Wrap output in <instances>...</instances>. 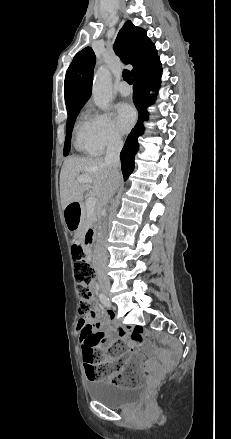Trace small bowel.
<instances>
[{"mask_svg": "<svg viewBox=\"0 0 231 439\" xmlns=\"http://www.w3.org/2000/svg\"><path fill=\"white\" fill-rule=\"evenodd\" d=\"M103 314L99 305L94 303L91 312L83 318H80L77 322V330L79 331L80 344L82 352L87 347L100 348L112 343L117 338L127 340L130 344L132 351L138 348L142 343L141 331L137 330L131 332L129 329H121L114 324L107 325L101 319ZM110 312L107 313L110 318ZM125 368H132L134 373L148 372L147 369H142L139 361L134 360L131 355H124L122 357ZM103 361H111L117 363L118 358L108 360L103 358Z\"/></svg>", "mask_w": 231, "mask_h": 439, "instance_id": "obj_1", "label": "small bowel"}]
</instances>
